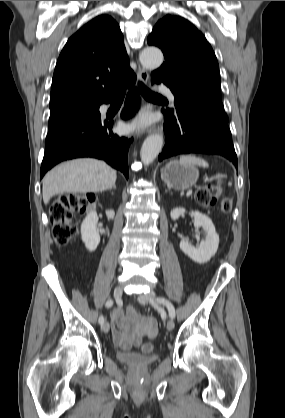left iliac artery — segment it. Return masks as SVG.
<instances>
[{
	"label": "left iliac artery",
	"mask_w": 285,
	"mask_h": 418,
	"mask_svg": "<svg viewBox=\"0 0 285 418\" xmlns=\"http://www.w3.org/2000/svg\"><path fill=\"white\" fill-rule=\"evenodd\" d=\"M156 302L166 306V308L168 309L169 317L171 319L175 317V308L168 299L164 297H158L156 298Z\"/></svg>",
	"instance_id": "obj_1"
}]
</instances>
